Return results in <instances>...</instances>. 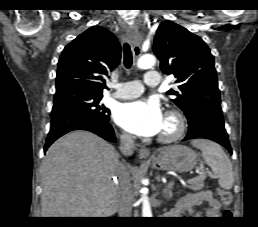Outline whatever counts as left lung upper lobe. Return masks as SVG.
I'll use <instances>...</instances> for the list:
<instances>
[{
  "label": "left lung upper lobe",
  "instance_id": "obj_1",
  "mask_svg": "<svg viewBox=\"0 0 258 227\" xmlns=\"http://www.w3.org/2000/svg\"><path fill=\"white\" fill-rule=\"evenodd\" d=\"M153 50L165 74H173L177 90L167 94L192 122L204 110H221L214 57L205 42L184 27L164 21L160 24Z\"/></svg>",
  "mask_w": 258,
  "mask_h": 227
}]
</instances>
